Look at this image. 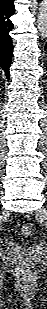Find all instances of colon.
I'll return each mask as SVG.
<instances>
[{"instance_id":"5ec220e1","label":"colon","mask_w":47,"mask_h":309,"mask_svg":"<svg viewBox=\"0 0 47 309\" xmlns=\"http://www.w3.org/2000/svg\"><path fill=\"white\" fill-rule=\"evenodd\" d=\"M22 233L24 236H29L31 234V229L30 227L28 226H23L22 227ZM31 268L30 264H27L25 263L23 266H22V271L23 272H26V271H29Z\"/></svg>"}]
</instances>
